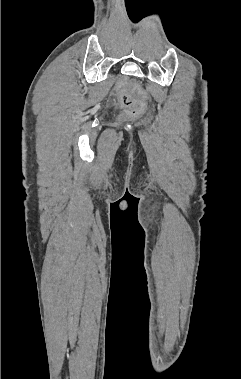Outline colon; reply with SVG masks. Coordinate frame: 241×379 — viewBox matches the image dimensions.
I'll return each mask as SVG.
<instances>
[{"mask_svg":"<svg viewBox=\"0 0 241 379\" xmlns=\"http://www.w3.org/2000/svg\"><path fill=\"white\" fill-rule=\"evenodd\" d=\"M122 83L119 84L118 98L120 103L127 108L124 117L128 119L136 118L145 109V99L131 98L123 89Z\"/></svg>","mask_w":241,"mask_h":379,"instance_id":"1","label":"colon"}]
</instances>
